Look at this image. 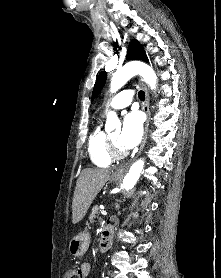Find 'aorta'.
Listing matches in <instances>:
<instances>
[{
	"mask_svg": "<svg viewBox=\"0 0 221 278\" xmlns=\"http://www.w3.org/2000/svg\"><path fill=\"white\" fill-rule=\"evenodd\" d=\"M135 75H140L152 90L156 88L157 76L152 67L143 62L133 61L125 64L115 72L110 83L111 93L118 91ZM114 119H116V114L112 111L108 112L107 120L112 121ZM143 167L144 160L142 159L136 161L130 167L129 172L123 179L122 188L124 190L128 191L134 187L140 177Z\"/></svg>",
	"mask_w": 221,
	"mask_h": 278,
	"instance_id": "1",
	"label": "aorta"
}]
</instances>
